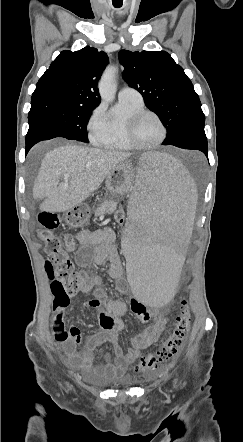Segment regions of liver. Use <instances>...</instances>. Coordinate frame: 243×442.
I'll return each instance as SVG.
<instances>
[{"instance_id": "obj_1", "label": "liver", "mask_w": 243, "mask_h": 442, "mask_svg": "<svg viewBox=\"0 0 243 442\" xmlns=\"http://www.w3.org/2000/svg\"><path fill=\"white\" fill-rule=\"evenodd\" d=\"M130 155L82 145L56 147L42 160L33 197L46 198L40 207L42 211H68L93 194L112 169ZM66 174L69 178L59 183Z\"/></svg>"}]
</instances>
